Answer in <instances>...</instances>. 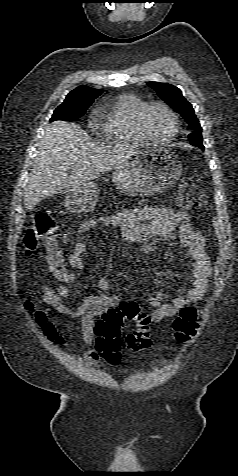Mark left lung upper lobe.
<instances>
[{
  "label": "left lung upper lobe",
  "instance_id": "1",
  "mask_svg": "<svg viewBox=\"0 0 238 476\" xmlns=\"http://www.w3.org/2000/svg\"><path fill=\"white\" fill-rule=\"evenodd\" d=\"M148 85L193 128L192 133L189 135L190 143L204 149L201 135L202 128L194 113L192 105L183 97L181 90L168 83L149 82Z\"/></svg>",
  "mask_w": 238,
  "mask_h": 476
}]
</instances>
